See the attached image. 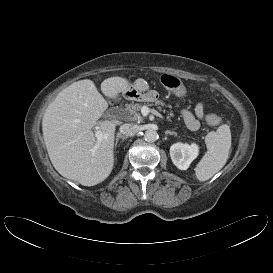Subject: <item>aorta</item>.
Masks as SVG:
<instances>
[{
    "instance_id": "762f6f07",
    "label": "aorta",
    "mask_w": 273,
    "mask_h": 273,
    "mask_svg": "<svg viewBox=\"0 0 273 273\" xmlns=\"http://www.w3.org/2000/svg\"><path fill=\"white\" fill-rule=\"evenodd\" d=\"M158 138V134L155 130H147L144 134V139L147 142H155Z\"/></svg>"
}]
</instances>
